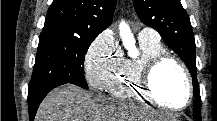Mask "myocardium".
Instances as JSON below:
<instances>
[{
  "instance_id": "1",
  "label": "myocardium",
  "mask_w": 217,
  "mask_h": 121,
  "mask_svg": "<svg viewBox=\"0 0 217 121\" xmlns=\"http://www.w3.org/2000/svg\"><path fill=\"white\" fill-rule=\"evenodd\" d=\"M166 63H172L176 65L181 70V72L183 73L186 79L187 87H188V94H187L186 101L181 106H171V105L164 103L154 92L153 83H152L153 75L160 67H162ZM139 85H140V90L142 94L147 99H149L153 103L167 110L174 111V112L182 111L186 109L191 104L193 100V96H194L193 82H192V77L190 75L189 70L187 69V67L184 65V63L180 59L168 53H162L160 55H157L156 57L142 64L140 73H139Z\"/></svg>"
}]
</instances>
